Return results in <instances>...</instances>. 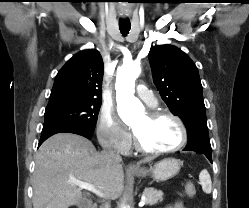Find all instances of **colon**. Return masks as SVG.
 <instances>
[{"instance_id": "colon-1", "label": "colon", "mask_w": 249, "mask_h": 208, "mask_svg": "<svg viewBox=\"0 0 249 208\" xmlns=\"http://www.w3.org/2000/svg\"><path fill=\"white\" fill-rule=\"evenodd\" d=\"M185 191L186 194L192 198L196 195V186L193 182H188L185 186Z\"/></svg>"}]
</instances>
